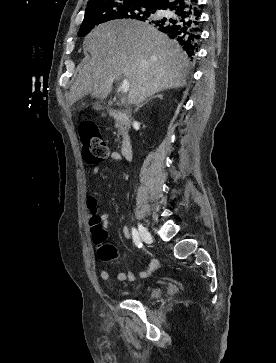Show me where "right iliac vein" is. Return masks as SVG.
<instances>
[{
  "label": "right iliac vein",
  "instance_id": "1",
  "mask_svg": "<svg viewBox=\"0 0 276 363\" xmlns=\"http://www.w3.org/2000/svg\"><path fill=\"white\" fill-rule=\"evenodd\" d=\"M138 230H139L142 240L146 244L150 245L153 242V238H152L150 232L147 230V228L140 223L138 225Z\"/></svg>",
  "mask_w": 276,
  "mask_h": 363
}]
</instances>
